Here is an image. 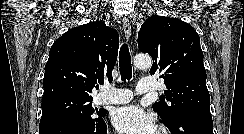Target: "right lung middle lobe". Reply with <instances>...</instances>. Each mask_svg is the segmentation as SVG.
<instances>
[{
  "instance_id": "right-lung-middle-lobe-1",
  "label": "right lung middle lobe",
  "mask_w": 244,
  "mask_h": 134,
  "mask_svg": "<svg viewBox=\"0 0 244 134\" xmlns=\"http://www.w3.org/2000/svg\"><path fill=\"white\" fill-rule=\"evenodd\" d=\"M91 101L92 99L69 96L42 100V117L39 124V131L43 130L49 124L59 121H97L106 114V110L93 108Z\"/></svg>"
}]
</instances>
